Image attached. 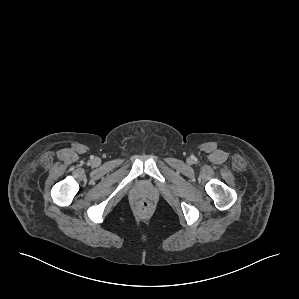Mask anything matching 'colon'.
<instances>
[{
	"instance_id": "5ec220e1",
	"label": "colon",
	"mask_w": 299,
	"mask_h": 299,
	"mask_svg": "<svg viewBox=\"0 0 299 299\" xmlns=\"http://www.w3.org/2000/svg\"><path fill=\"white\" fill-rule=\"evenodd\" d=\"M136 209L140 214H146L151 210V204L147 200H141L137 203Z\"/></svg>"
}]
</instances>
